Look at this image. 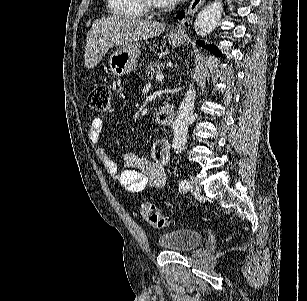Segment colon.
I'll return each instance as SVG.
<instances>
[{
	"label": "colon",
	"mask_w": 307,
	"mask_h": 301,
	"mask_svg": "<svg viewBox=\"0 0 307 301\" xmlns=\"http://www.w3.org/2000/svg\"><path fill=\"white\" fill-rule=\"evenodd\" d=\"M88 104L96 112L107 111L110 106L109 87L104 84L94 87L88 95ZM139 212L144 220L155 228H164L168 225V219L153 203H141L139 205Z\"/></svg>",
	"instance_id": "1"
}]
</instances>
